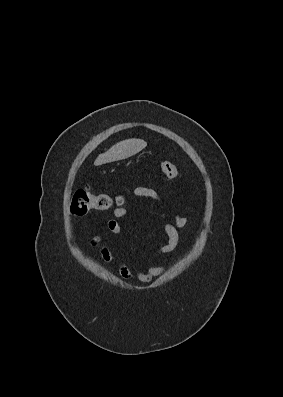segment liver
Masks as SVG:
<instances>
[{
  "instance_id": "6515ba94",
  "label": "liver",
  "mask_w": 283,
  "mask_h": 397,
  "mask_svg": "<svg viewBox=\"0 0 283 397\" xmlns=\"http://www.w3.org/2000/svg\"><path fill=\"white\" fill-rule=\"evenodd\" d=\"M147 146L141 139H126L113 145L107 152L100 154L94 162L95 166L126 159L131 157Z\"/></svg>"
}]
</instances>
